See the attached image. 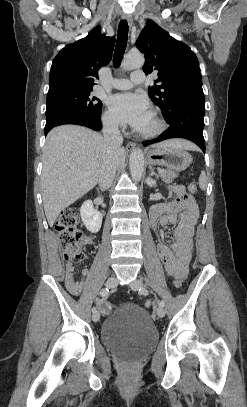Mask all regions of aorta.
Wrapping results in <instances>:
<instances>
[{
  "label": "aorta",
  "mask_w": 247,
  "mask_h": 407,
  "mask_svg": "<svg viewBox=\"0 0 247 407\" xmlns=\"http://www.w3.org/2000/svg\"><path fill=\"white\" fill-rule=\"evenodd\" d=\"M144 56L137 53H129L121 64L123 70H132L144 65ZM129 168L132 179L140 181L144 173V156L140 149H134L129 157Z\"/></svg>",
  "instance_id": "1"
}]
</instances>
